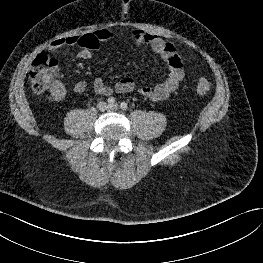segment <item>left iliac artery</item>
I'll return each mask as SVG.
<instances>
[{"label": "left iliac artery", "mask_w": 263, "mask_h": 263, "mask_svg": "<svg viewBox=\"0 0 263 263\" xmlns=\"http://www.w3.org/2000/svg\"><path fill=\"white\" fill-rule=\"evenodd\" d=\"M120 107H121V109L126 110V109L128 108V105H127V103L122 102V103L120 104Z\"/></svg>", "instance_id": "left-iliac-artery-1"}]
</instances>
